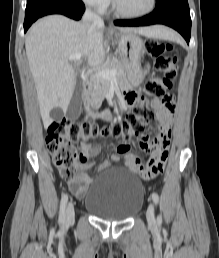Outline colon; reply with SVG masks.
Here are the masks:
<instances>
[{"instance_id":"5ec220e1","label":"colon","mask_w":219,"mask_h":258,"mask_svg":"<svg viewBox=\"0 0 219 258\" xmlns=\"http://www.w3.org/2000/svg\"><path fill=\"white\" fill-rule=\"evenodd\" d=\"M147 54L154 59L159 77L150 78L143 88L144 95L140 102L126 115L123 121H116L107 126L94 122H76L62 119L48 127L47 147L60 175L70 180L76 173L77 161L83 155L77 144L87 143L92 139L112 137L129 141L133 136H145V127L155 119V112L149 105V98H163L173 86L179 68L178 57L172 54L168 43L147 40Z\"/></svg>"}]
</instances>
